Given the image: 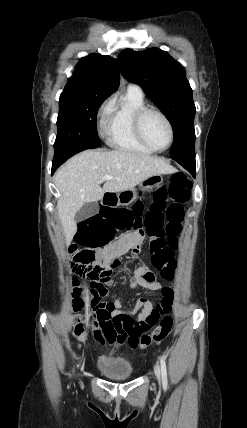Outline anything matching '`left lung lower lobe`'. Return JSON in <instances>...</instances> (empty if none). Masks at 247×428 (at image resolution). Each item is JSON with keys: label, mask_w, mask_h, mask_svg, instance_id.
Wrapping results in <instances>:
<instances>
[{"label": "left lung lower lobe", "mask_w": 247, "mask_h": 428, "mask_svg": "<svg viewBox=\"0 0 247 428\" xmlns=\"http://www.w3.org/2000/svg\"><path fill=\"white\" fill-rule=\"evenodd\" d=\"M173 160L182 165L186 170H188L193 177L196 175L195 170V156L193 157H171Z\"/></svg>", "instance_id": "0a47b994"}]
</instances>
